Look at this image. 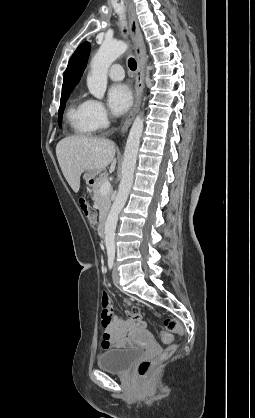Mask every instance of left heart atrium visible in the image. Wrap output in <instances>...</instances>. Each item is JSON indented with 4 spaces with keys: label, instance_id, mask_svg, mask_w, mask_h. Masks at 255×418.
I'll list each match as a JSON object with an SVG mask.
<instances>
[{
    "label": "left heart atrium",
    "instance_id": "39dd6f15",
    "mask_svg": "<svg viewBox=\"0 0 255 418\" xmlns=\"http://www.w3.org/2000/svg\"><path fill=\"white\" fill-rule=\"evenodd\" d=\"M108 103L116 115L125 113L132 104L130 89L124 84H114L108 91Z\"/></svg>",
    "mask_w": 255,
    "mask_h": 418
}]
</instances>
